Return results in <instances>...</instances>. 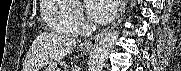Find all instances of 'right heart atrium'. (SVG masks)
Wrapping results in <instances>:
<instances>
[{"mask_svg":"<svg viewBox=\"0 0 181 71\" xmlns=\"http://www.w3.org/2000/svg\"><path fill=\"white\" fill-rule=\"evenodd\" d=\"M70 22H71L72 26L75 29L79 30L80 32H81L80 29L87 26V20L83 14L81 8L75 6V10L71 16Z\"/></svg>","mask_w":181,"mask_h":71,"instance_id":"right-heart-atrium-1","label":"right heart atrium"}]
</instances>
